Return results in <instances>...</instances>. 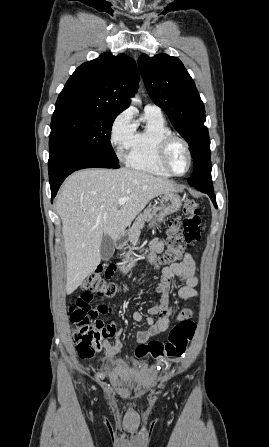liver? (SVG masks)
Returning <instances> with one entry per match:
<instances>
[{
	"mask_svg": "<svg viewBox=\"0 0 269 447\" xmlns=\"http://www.w3.org/2000/svg\"><path fill=\"white\" fill-rule=\"evenodd\" d=\"M177 192L173 182L129 168L80 170L63 184L56 208L67 257L66 293H72L101 261L103 235L118 239L150 200ZM120 198H129L123 206Z\"/></svg>",
	"mask_w": 269,
	"mask_h": 447,
	"instance_id": "liver-1",
	"label": "liver"
}]
</instances>
